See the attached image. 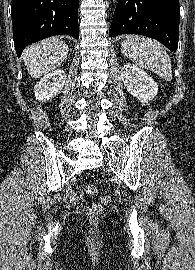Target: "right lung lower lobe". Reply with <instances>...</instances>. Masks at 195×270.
<instances>
[{
	"instance_id": "right-lung-lower-lobe-1",
	"label": "right lung lower lobe",
	"mask_w": 195,
	"mask_h": 270,
	"mask_svg": "<svg viewBox=\"0 0 195 270\" xmlns=\"http://www.w3.org/2000/svg\"><path fill=\"white\" fill-rule=\"evenodd\" d=\"M79 0H12L13 40L18 57L44 38L66 34L79 38Z\"/></svg>"
}]
</instances>
